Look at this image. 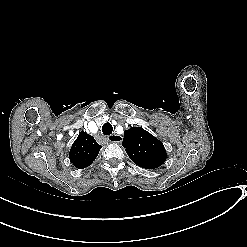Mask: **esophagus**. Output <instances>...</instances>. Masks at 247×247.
<instances>
[{
  "mask_svg": "<svg viewBox=\"0 0 247 247\" xmlns=\"http://www.w3.org/2000/svg\"><path fill=\"white\" fill-rule=\"evenodd\" d=\"M107 139L108 141L115 142V143H120L123 141V137L118 134H111L107 137Z\"/></svg>",
  "mask_w": 247,
  "mask_h": 247,
  "instance_id": "34e87169",
  "label": "esophagus"
}]
</instances>
